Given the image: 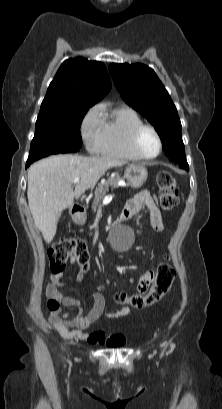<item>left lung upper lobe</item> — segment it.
<instances>
[{
    "label": "left lung upper lobe",
    "instance_id": "1",
    "mask_svg": "<svg viewBox=\"0 0 222 409\" xmlns=\"http://www.w3.org/2000/svg\"><path fill=\"white\" fill-rule=\"evenodd\" d=\"M109 71L127 104L154 125L165 154L181 168L188 170L177 109L154 70L140 63H112Z\"/></svg>",
    "mask_w": 222,
    "mask_h": 409
}]
</instances>
